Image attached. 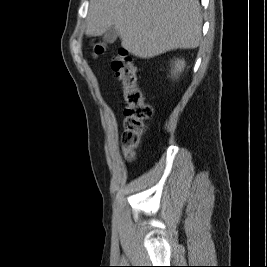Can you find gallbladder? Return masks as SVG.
<instances>
[{
    "label": "gallbladder",
    "mask_w": 267,
    "mask_h": 267,
    "mask_svg": "<svg viewBox=\"0 0 267 267\" xmlns=\"http://www.w3.org/2000/svg\"><path fill=\"white\" fill-rule=\"evenodd\" d=\"M119 33L114 26H111L104 34L103 39L106 43L112 44L116 41Z\"/></svg>",
    "instance_id": "1"
}]
</instances>
